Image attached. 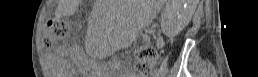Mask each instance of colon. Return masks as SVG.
<instances>
[{
  "instance_id": "1",
  "label": "colon",
  "mask_w": 258,
  "mask_h": 77,
  "mask_svg": "<svg viewBox=\"0 0 258 77\" xmlns=\"http://www.w3.org/2000/svg\"><path fill=\"white\" fill-rule=\"evenodd\" d=\"M69 26L60 21H52L47 24L50 30V38L53 41L64 38ZM157 52L153 47H142L136 52V66L143 76H149L154 68Z\"/></svg>"
}]
</instances>
